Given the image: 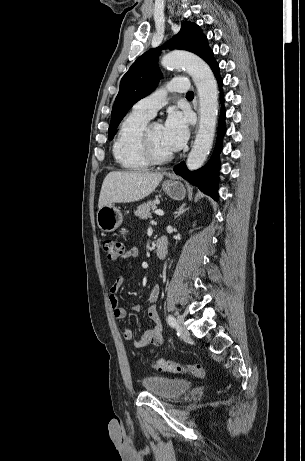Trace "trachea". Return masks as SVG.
<instances>
[{"mask_svg": "<svg viewBox=\"0 0 305 461\" xmlns=\"http://www.w3.org/2000/svg\"><path fill=\"white\" fill-rule=\"evenodd\" d=\"M186 97H194V93L192 91L187 92Z\"/></svg>", "mask_w": 305, "mask_h": 461, "instance_id": "obj_1", "label": "trachea"}]
</instances>
